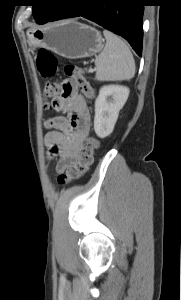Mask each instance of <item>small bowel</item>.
Instances as JSON below:
<instances>
[{"mask_svg":"<svg viewBox=\"0 0 181 300\" xmlns=\"http://www.w3.org/2000/svg\"><path fill=\"white\" fill-rule=\"evenodd\" d=\"M52 106L65 115L48 120L47 125L51 130L46 135L45 143L49 155L57 158L56 168L61 172L76 161L89 132L90 114L73 82H65L64 93L52 99Z\"/></svg>","mask_w":181,"mask_h":300,"instance_id":"1","label":"small bowel"}]
</instances>
